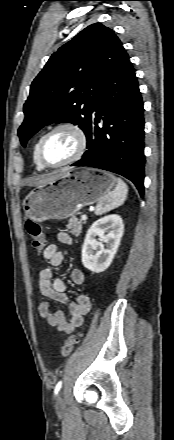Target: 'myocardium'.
Here are the masks:
<instances>
[{
    "label": "myocardium",
    "mask_w": 174,
    "mask_h": 440,
    "mask_svg": "<svg viewBox=\"0 0 174 440\" xmlns=\"http://www.w3.org/2000/svg\"><path fill=\"white\" fill-rule=\"evenodd\" d=\"M59 130H67V131L72 132L77 138V148H76L74 154L71 157H69L67 160H65L64 162H62L60 164H56V165L48 164L45 162V160L43 158V154H42L43 145H44L46 139L51 134H53L54 132L59 131ZM87 146H88V138H87L86 132L84 131V129L80 125H78L77 123H74V122H70V121L60 122V123L54 125L53 127H51L40 138L39 145H38V152H37L38 160L41 163V165L45 168H52V169L61 168V167L70 165V164L76 162L77 160H79L84 155V153L87 149Z\"/></svg>",
    "instance_id": "1"
}]
</instances>
